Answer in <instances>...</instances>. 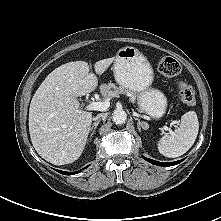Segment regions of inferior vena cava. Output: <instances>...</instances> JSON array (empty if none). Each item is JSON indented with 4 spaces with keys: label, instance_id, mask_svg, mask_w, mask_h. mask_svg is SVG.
I'll use <instances>...</instances> for the list:
<instances>
[{
    "label": "inferior vena cava",
    "instance_id": "1",
    "mask_svg": "<svg viewBox=\"0 0 221 221\" xmlns=\"http://www.w3.org/2000/svg\"><path fill=\"white\" fill-rule=\"evenodd\" d=\"M107 117V114L106 113H101V114H98L97 116H95L93 118L94 121H100L101 119H105Z\"/></svg>",
    "mask_w": 221,
    "mask_h": 221
}]
</instances>
